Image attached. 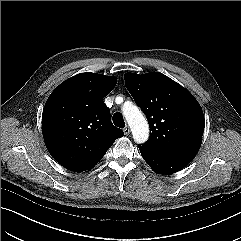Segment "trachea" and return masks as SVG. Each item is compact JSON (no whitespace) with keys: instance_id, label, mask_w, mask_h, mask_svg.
<instances>
[{"instance_id":"obj_1","label":"trachea","mask_w":241,"mask_h":241,"mask_svg":"<svg viewBox=\"0 0 241 241\" xmlns=\"http://www.w3.org/2000/svg\"><path fill=\"white\" fill-rule=\"evenodd\" d=\"M113 123L115 126L119 127V128H124L125 127V122L124 119L122 117V115L120 113H115L113 115Z\"/></svg>"}]
</instances>
